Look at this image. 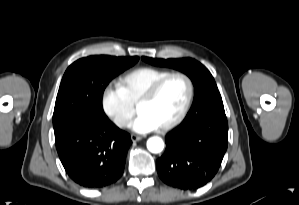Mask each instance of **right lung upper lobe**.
Here are the masks:
<instances>
[{
    "label": "right lung upper lobe",
    "instance_id": "right-lung-upper-lobe-1",
    "mask_svg": "<svg viewBox=\"0 0 299 205\" xmlns=\"http://www.w3.org/2000/svg\"><path fill=\"white\" fill-rule=\"evenodd\" d=\"M132 58L139 59L138 57H132Z\"/></svg>",
    "mask_w": 299,
    "mask_h": 205
}]
</instances>
